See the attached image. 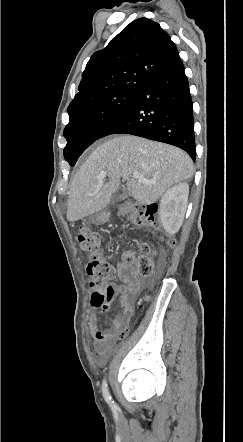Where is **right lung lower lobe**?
Masks as SVG:
<instances>
[{"instance_id":"1","label":"right lung lower lobe","mask_w":243,"mask_h":442,"mask_svg":"<svg viewBox=\"0 0 243 442\" xmlns=\"http://www.w3.org/2000/svg\"><path fill=\"white\" fill-rule=\"evenodd\" d=\"M118 133L177 146L195 160L192 99L179 54L136 91L99 138Z\"/></svg>"}]
</instances>
